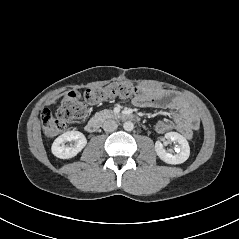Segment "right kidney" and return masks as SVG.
Segmentation results:
<instances>
[{"instance_id": "obj_1", "label": "right kidney", "mask_w": 239, "mask_h": 239, "mask_svg": "<svg viewBox=\"0 0 239 239\" xmlns=\"http://www.w3.org/2000/svg\"><path fill=\"white\" fill-rule=\"evenodd\" d=\"M72 141L71 147H66L65 142ZM87 140L79 131H68L55 139L52 144V153L60 159H69L76 156L86 146Z\"/></svg>"}]
</instances>
